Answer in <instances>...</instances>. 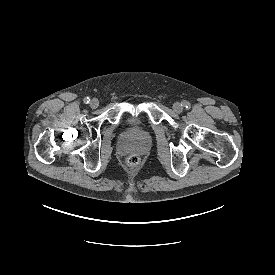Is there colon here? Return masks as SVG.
Instances as JSON below:
<instances>
[{
	"instance_id": "1",
	"label": "colon",
	"mask_w": 275,
	"mask_h": 275,
	"mask_svg": "<svg viewBox=\"0 0 275 275\" xmlns=\"http://www.w3.org/2000/svg\"><path fill=\"white\" fill-rule=\"evenodd\" d=\"M139 161H140V158L136 154H133L128 158V164L132 167L138 165Z\"/></svg>"
}]
</instances>
